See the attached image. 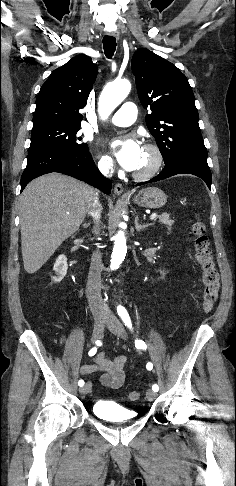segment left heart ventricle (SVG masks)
<instances>
[{"instance_id":"1","label":"left heart ventricle","mask_w":236,"mask_h":486,"mask_svg":"<svg viewBox=\"0 0 236 486\" xmlns=\"http://www.w3.org/2000/svg\"><path fill=\"white\" fill-rule=\"evenodd\" d=\"M152 162H153L152 154L149 151L143 149L140 162L137 168L135 169V171L141 172L147 170L151 166Z\"/></svg>"}]
</instances>
